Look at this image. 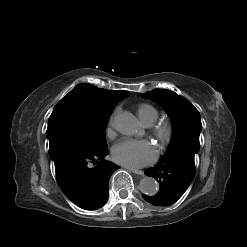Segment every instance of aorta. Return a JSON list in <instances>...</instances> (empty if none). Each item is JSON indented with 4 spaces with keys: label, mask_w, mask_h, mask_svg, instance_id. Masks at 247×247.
<instances>
[{
    "label": "aorta",
    "mask_w": 247,
    "mask_h": 247,
    "mask_svg": "<svg viewBox=\"0 0 247 247\" xmlns=\"http://www.w3.org/2000/svg\"><path fill=\"white\" fill-rule=\"evenodd\" d=\"M116 128L124 135L134 136L138 132V122L130 112H124L116 118ZM141 191L149 196H153L158 192V182L152 177H144L140 181Z\"/></svg>",
    "instance_id": "1"
}]
</instances>
